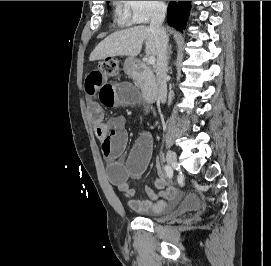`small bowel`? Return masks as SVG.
Wrapping results in <instances>:
<instances>
[{
    "label": "small bowel",
    "mask_w": 271,
    "mask_h": 266,
    "mask_svg": "<svg viewBox=\"0 0 271 266\" xmlns=\"http://www.w3.org/2000/svg\"><path fill=\"white\" fill-rule=\"evenodd\" d=\"M100 69L92 70L86 77L85 90L89 96L97 95L99 101L90 100L88 116L94 134L101 142L103 154L108 159V178L111 184L127 199L130 208L138 213H156L174 207L180 198L179 191L172 186L161 170L157 172L154 188L147 186L148 200H135V191L130 181L137 180L145 171L152 151V137L145 133L139 137L131 149L127 159H121L127 141L126 120L122 116L110 121L104 120V107L134 105L139 95L129 82L114 83Z\"/></svg>",
    "instance_id": "1"
}]
</instances>
